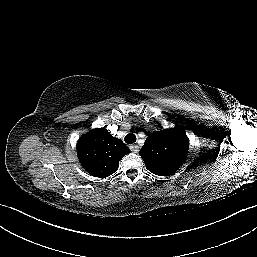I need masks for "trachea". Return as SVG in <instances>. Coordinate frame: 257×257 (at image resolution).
Segmentation results:
<instances>
[{
    "mask_svg": "<svg viewBox=\"0 0 257 257\" xmlns=\"http://www.w3.org/2000/svg\"><path fill=\"white\" fill-rule=\"evenodd\" d=\"M124 140L127 144H132L136 142V136L133 133H129L125 136Z\"/></svg>",
    "mask_w": 257,
    "mask_h": 257,
    "instance_id": "3493384b",
    "label": "trachea"
}]
</instances>
